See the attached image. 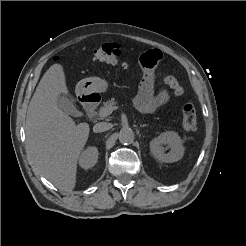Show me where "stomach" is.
Segmentation results:
<instances>
[{
    "mask_svg": "<svg viewBox=\"0 0 246 246\" xmlns=\"http://www.w3.org/2000/svg\"><path fill=\"white\" fill-rule=\"evenodd\" d=\"M108 83L99 77H88L77 83L76 91L80 95H91L93 93H102L107 90Z\"/></svg>",
    "mask_w": 246,
    "mask_h": 246,
    "instance_id": "obj_1",
    "label": "stomach"
}]
</instances>
